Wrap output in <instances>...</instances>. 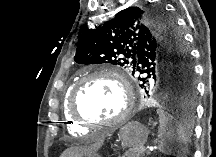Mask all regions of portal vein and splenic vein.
Here are the masks:
<instances>
[{
    "instance_id": "18ae733b",
    "label": "portal vein and splenic vein",
    "mask_w": 216,
    "mask_h": 157,
    "mask_svg": "<svg viewBox=\"0 0 216 157\" xmlns=\"http://www.w3.org/2000/svg\"><path fill=\"white\" fill-rule=\"evenodd\" d=\"M146 149H147V152H150V150H153V147L152 146H147Z\"/></svg>"
}]
</instances>
